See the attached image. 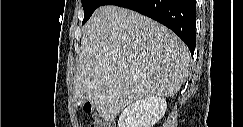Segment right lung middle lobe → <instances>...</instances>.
<instances>
[{
  "mask_svg": "<svg viewBox=\"0 0 243 127\" xmlns=\"http://www.w3.org/2000/svg\"><path fill=\"white\" fill-rule=\"evenodd\" d=\"M105 0H82V6L84 10V19L82 24H85L93 12L99 7L102 6Z\"/></svg>",
  "mask_w": 243,
  "mask_h": 127,
  "instance_id": "right-lung-middle-lobe-1",
  "label": "right lung middle lobe"
}]
</instances>
